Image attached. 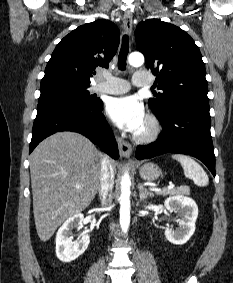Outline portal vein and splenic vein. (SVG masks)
Returning <instances> with one entry per match:
<instances>
[{
	"mask_svg": "<svg viewBox=\"0 0 233 283\" xmlns=\"http://www.w3.org/2000/svg\"><path fill=\"white\" fill-rule=\"evenodd\" d=\"M81 186L80 185H76V188H80ZM175 187L174 184L170 183L169 186L165 189H160V188H150L149 190L150 191H153V192H163V191H167V190H171Z\"/></svg>",
	"mask_w": 233,
	"mask_h": 283,
	"instance_id": "obj_1",
	"label": "portal vein and splenic vein"
}]
</instances>
